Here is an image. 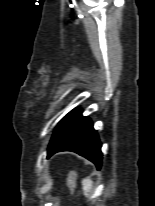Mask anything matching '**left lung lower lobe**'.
<instances>
[{
  "instance_id": "obj_1",
  "label": "left lung lower lobe",
  "mask_w": 155,
  "mask_h": 206,
  "mask_svg": "<svg viewBox=\"0 0 155 206\" xmlns=\"http://www.w3.org/2000/svg\"><path fill=\"white\" fill-rule=\"evenodd\" d=\"M60 151H73L92 161L98 169L102 164L101 143L88 117H82L64 136L48 148V157Z\"/></svg>"
}]
</instances>
